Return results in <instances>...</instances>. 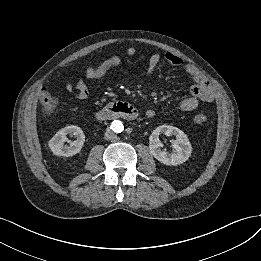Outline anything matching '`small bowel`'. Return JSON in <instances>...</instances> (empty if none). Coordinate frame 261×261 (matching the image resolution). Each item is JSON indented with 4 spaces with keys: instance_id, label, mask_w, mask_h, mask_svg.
<instances>
[{
    "instance_id": "small-bowel-1",
    "label": "small bowel",
    "mask_w": 261,
    "mask_h": 261,
    "mask_svg": "<svg viewBox=\"0 0 261 261\" xmlns=\"http://www.w3.org/2000/svg\"><path fill=\"white\" fill-rule=\"evenodd\" d=\"M127 56L132 57L136 54V49L130 47L126 51ZM164 59L173 65H182L183 61L171 54L167 53L164 55ZM161 61L160 54H152L148 61V66L146 69V75L148 78H153L155 76L157 67ZM122 63L121 59L117 56H113L101 64L94 66L90 65L86 68L84 74V80L78 81L74 86L70 83L66 84V91L75 99L83 100L88 97V88L86 82H91L99 79L100 77L107 74L112 68L119 66ZM185 72L193 79L194 83L199 82L205 78L202 70L192 64H185ZM214 99V88L209 83L199 94L189 95L184 98L180 104L181 111H192L198 107L200 103H209ZM147 117L154 116V111H147Z\"/></svg>"
}]
</instances>
